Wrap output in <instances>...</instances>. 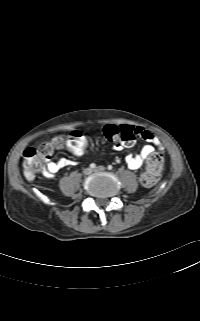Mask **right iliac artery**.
<instances>
[{
  "instance_id": "82829eb1",
  "label": "right iliac artery",
  "mask_w": 200,
  "mask_h": 321,
  "mask_svg": "<svg viewBox=\"0 0 200 321\" xmlns=\"http://www.w3.org/2000/svg\"><path fill=\"white\" fill-rule=\"evenodd\" d=\"M96 167V165L94 164V163H92V164H90V168H95Z\"/></svg>"
}]
</instances>
